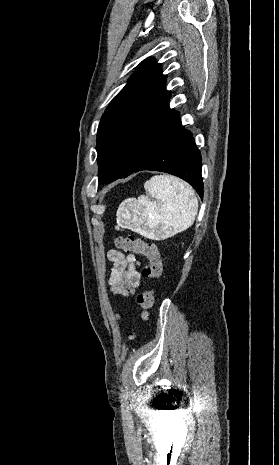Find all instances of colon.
<instances>
[{
  "label": "colon",
  "mask_w": 279,
  "mask_h": 465,
  "mask_svg": "<svg viewBox=\"0 0 279 465\" xmlns=\"http://www.w3.org/2000/svg\"><path fill=\"white\" fill-rule=\"evenodd\" d=\"M115 246L125 252L139 254L148 260V265L144 268L142 274L146 278L155 279L162 273V259L157 245L153 242H146L143 239L133 236H121L115 239ZM137 303L143 309L142 317L148 318V310L154 303V292L151 290L144 291L137 296ZM134 334L129 335L133 340Z\"/></svg>",
  "instance_id": "5ec220e1"
}]
</instances>
